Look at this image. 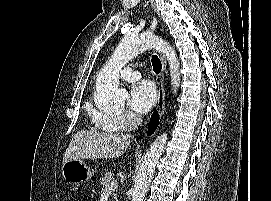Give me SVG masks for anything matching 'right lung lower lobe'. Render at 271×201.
Instances as JSON below:
<instances>
[{"instance_id":"1","label":"right lung lower lobe","mask_w":271,"mask_h":201,"mask_svg":"<svg viewBox=\"0 0 271 201\" xmlns=\"http://www.w3.org/2000/svg\"><path fill=\"white\" fill-rule=\"evenodd\" d=\"M159 123V115L155 111L151 116L149 127H148V134L151 135L157 128Z\"/></svg>"}]
</instances>
